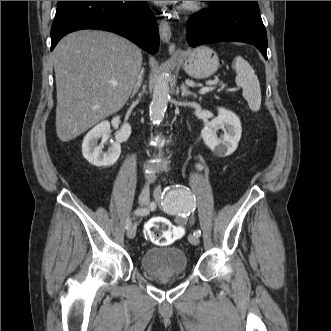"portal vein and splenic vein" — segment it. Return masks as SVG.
Masks as SVG:
<instances>
[{
    "mask_svg": "<svg viewBox=\"0 0 331 331\" xmlns=\"http://www.w3.org/2000/svg\"><path fill=\"white\" fill-rule=\"evenodd\" d=\"M111 84H112V86L115 87V86H117L118 83L116 81H112ZM214 84H216V82ZM214 88L215 87H204V88L200 89L199 94H206L207 92L214 90Z\"/></svg>",
    "mask_w": 331,
    "mask_h": 331,
    "instance_id": "18ae733b",
    "label": "portal vein and splenic vein"
}]
</instances>
